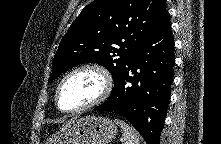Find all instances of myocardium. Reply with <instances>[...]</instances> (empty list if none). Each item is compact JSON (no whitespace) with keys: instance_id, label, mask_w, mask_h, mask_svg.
Returning a JSON list of instances; mask_svg holds the SVG:
<instances>
[{"instance_id":"1","label":"myocardium","mask_w":221,"mask_h":144,"mask_svg":"<svg viewBox=\"0 0 221 144\" xmlns=\"http://www.w3.org/2000/svg\"><path fill=\"white\" fill-rule=\"evenodd\" d=\"M85 70L94 71L100 75L103 81V87H102L101 93L93 101L85 105H82L80 107L73 108V109L63 108L60 104V93H61V89L64 83L74 74L80 71H85ZM112 88H113V80H112L110 73L108 72L106 68L95 63L82 64V65L75 67L70 72H68L59 82L57 89H56V94H55V103H56L57 108L60 111L65 112V113H77V112L85 111L104 102L109 97L112 91Z\"/></svg>"}]
</instances>
